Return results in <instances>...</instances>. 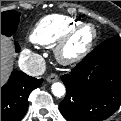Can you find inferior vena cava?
Returning a JSON list of instances; mask_svg holds the SVG:
<instances>
[{"label": "inferior vena cava", "instance_id": "obj_1", "mask_svg": "<svg viewBox=\"0 0 121 121\" xmlns=\"http://www.w3.org/2000/svg\"><path fill=\"white\" fill-rule=\"evenodd\" d=\"M19 66L24 73L33 77L42 75L46 69L44 58L38 54H34L28 62H22Z\"/></svg>", "mask_w": 121, "mask_h": 121}]
</instances>
